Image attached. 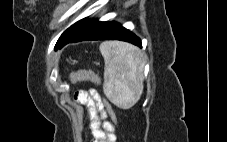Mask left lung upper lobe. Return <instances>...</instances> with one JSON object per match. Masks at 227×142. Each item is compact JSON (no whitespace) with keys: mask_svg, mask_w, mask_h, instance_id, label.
<instances>
[{"mask_svg":"<svg viewBox=\"0 0 227 142\" xmlns=\"http://www.w3.org/2000/svg\"><path fill=\"white\" fill-rule=\"evenodd\" d=\"M89 24L87 18H84L70 26L58 39L55 48H60L66 41L71 39L76 33Z\"/></svg>","mask_w":227,"mask_h":142,"instance_id":"left-lung-upper-lobe-1","label":"left lung upper lobe"}]
</instances>
